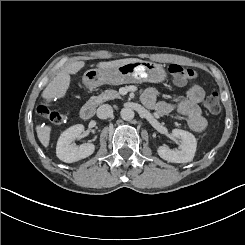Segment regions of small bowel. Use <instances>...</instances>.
Here are the masks:
<instances>
[{
    "instance_id": "c3829d8e",
    "label": "small bowel",
    "mask_w": 245,
    "mask_h": 245,
    "mask_svg": "<svg viewBox=\"0 0 245 245\" xmlns=\"http://www.w3.org/2000/svg\"><path fill=\"white\" fill-rule=\"evenodd\" d=\"M179 86L186 88V94L177 103L172 104L159 101L158 92L154 88H149L144 92L142 101L145 106L155 110L159 115L169 116L176 114L193 131L200 132L204 130L207 125V120L199 107V103L205 95L203 88L199 84L189 83L187 81L179 83Z\"/></svg>"
}]
</instances>
